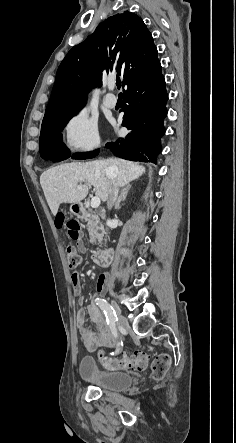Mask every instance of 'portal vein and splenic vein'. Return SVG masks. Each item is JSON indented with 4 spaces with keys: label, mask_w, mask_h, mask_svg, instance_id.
I'll use <instances>...</instances> for the list:
<instances>
[{
    "label": "portal vein and splenic vein",
    "mask_w": 236,
    "mask_h": 443,
    "mask_svg": "<svg viewBox=\"0 0 236 443\" xmlns=\"http://www.w3.org/2000/svg\"><path fill=\"white\" fill-rule=\"evenodd\" d=\"M78 188H81V185H79ZM100 203H101L100 198L99 197H94L91 200V207L96 209V208H98L100 206Z\"/></svg>",
    "instance_id": "portal-vein-and-splenic-vein-1"
}]
</instances>
